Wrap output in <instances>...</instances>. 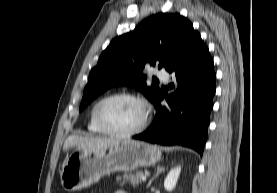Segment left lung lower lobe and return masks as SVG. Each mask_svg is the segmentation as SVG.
Returning <instances> with one entry per match:
<instances>
[{
  "instance_id": "obj_1",
  "label": "left lung lower lobe",
  "mask_w": 277,
  "mask_h": 193,
  "mask_svg": "<svg viewBox=\"0 0 277 193\" xmlns=\"http://www.w3.org/2000/svg\"><path fill=\"white\" fill-rule=\"evenodd\" d=\"M169 72L175 73L176 79L169 85L175 91L166 97L168 104L160 105L164 98L161 94L155 103L157 113L152 125L133 138L162 145L180 144L202 155L213 108L216 74L200 35L192 40L183 59Z\"/></svg>"
}]
</instances>
